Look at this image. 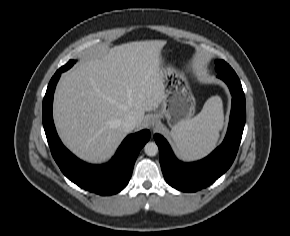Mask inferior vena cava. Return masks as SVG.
<instances>
[{"instance_id":"1","label":"inferior vena cava","mask_w":290,"mask_h":236,"mask_svg":"<svg viewBox=\"0 0 290 236\" xmlns=\"http://www.w3.org/2000/svg\"><path fill=\"white\" fill-rule=\"evenodd\" d=\"M137 120L133 116H126L122 122L121 127L126 133L131 132L136 127Z\"/></svg>"}]
</instances>
